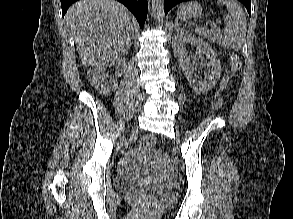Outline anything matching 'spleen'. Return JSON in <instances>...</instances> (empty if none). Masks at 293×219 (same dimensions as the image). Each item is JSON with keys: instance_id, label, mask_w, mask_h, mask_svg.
<instances>
[{"instance_id": "spleen-1", "label": "spleen", "mask_w": 293, "mask_h": 219, "mask_svg": "<svg viewBox=\"0 0 293 219\" xmlns=\"http://www.w3.org/2000/svg\"><path fill=\"white\" fill-rule=\"evenodd\" d=\"M217 4L227 7L225 28L223 30H209L205 27H197L195 31L219 46L238 51L244 43L247 32L245 13L236 0H217Z\"/></svg>"}]
</instances>
